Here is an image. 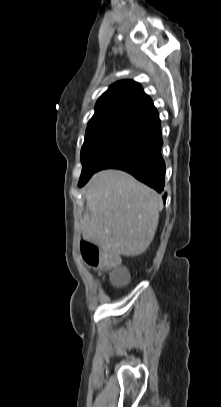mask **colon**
<instances>
[{
  "label": "colon",
  "mask_w": 221,
  "mask_h": 407,
  "mask_svg": "<svg viewBox=\"0 0 221 407\" xmlns=\"http://www.w3.org/2000/svg\"><path fill=\"white\" fill-rule=\"evenodd\" d=\"M81 252L88 265L103 267L104 271L112 266H117L118 261H123V259H118L116 252H109L107 256H103L95 245L87 242L82 243Z\"/></svg>",
  "instance_id": "obj_1"
}]
</instances>
